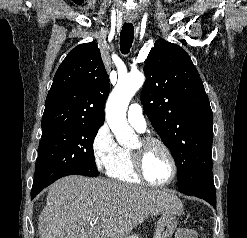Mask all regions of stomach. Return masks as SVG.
I'll use <instances>...</instances> for the list:
<instances>
[{"label": "stomach", "instance_id": "obj_1", "mask_svg": "<svg viewBox=\"0 0 247 238\" xmlns=\"http://www.w3.org/2000/svg\"><path fill=\"white\" fill-rule=\"evenodd\" d=\"M177 227V219L174 214L163 213L159 219L153 238H171Z\"/></svg>", "mask_w": 247, "mask_h": 238}]
</instances>
